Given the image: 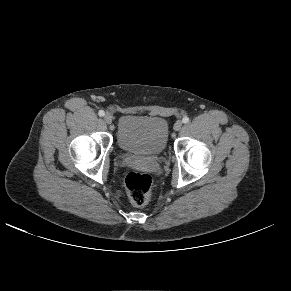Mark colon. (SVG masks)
I'll list each match as a JSON object with an SVG mask.
<instances>
[{
    "mask_svg": "<svg viewBox=\"0 0 291 291\" xmlns=\"http://www.w3.org/2000/svg\"><path fill=\"white\" fill-rule=\"evenodd\" d=\"M125 186L134 205L143 206L149 201L152 187L150 175L131 171L125 177Z\"/></svg>",
    "mask_w": 291,
    "mask_h": 291,
    "instance_id": "obj_1",
    "label": "colon"
}]
</instances>
